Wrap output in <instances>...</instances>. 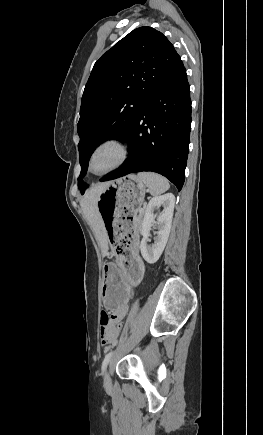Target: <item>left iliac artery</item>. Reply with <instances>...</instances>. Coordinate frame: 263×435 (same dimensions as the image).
<instances>
[{
  "mask_svg": "<svg viewBox=\"0 0 263 435\" xmlns=\"http://www.w3.org/2000/svg\"><path fill=\"white\" fill-rule=\"evenodd\" d=\"M112 354H113V351H110L108 354H106V356L102 362V374L104 373V371H105V369H106V367H107V365L112 357Z\"/></svg>",
  "mask_w": 263,
  "mask_h": 435,
  "instance_id": "left-iliac-artery-1",
  "label": "left iliac artery"
}]
</instances>
